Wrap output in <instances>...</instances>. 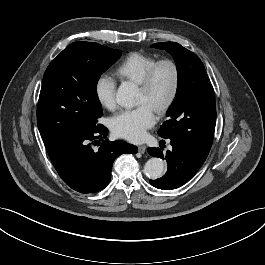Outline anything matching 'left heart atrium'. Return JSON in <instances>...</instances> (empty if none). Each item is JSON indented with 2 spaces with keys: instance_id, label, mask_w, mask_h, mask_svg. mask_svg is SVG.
Segmentation results:
<instances>
[{
  "instance_id": "obj_1",
  "label": "left heart atrium",
  "mask_w": 265,
  "mask_h": 265,
  "mask_svg": "<svg viewBox=\"0 0 265 265\" xmlns=\"http://www.w3.org/2000/svg\"><path fill=\"white\" fill-rule=\"evenodd\" d=\"M154 124V110L146 104L122 111L110 121L113 133L131 142L142 141L146 137L147 130Z\"/></svg>"
}]
</instances>
